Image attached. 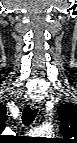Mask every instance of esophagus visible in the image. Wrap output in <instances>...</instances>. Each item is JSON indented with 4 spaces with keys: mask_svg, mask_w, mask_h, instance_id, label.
Segmentation results:
<instances>
[{
    "mask_svg": "<svg viewBox=\"0 0 77 143\" xmlns=\"http://www.w3.org/2000/svg\"><path fill=\"white\" fill-rule=\"evenodd\" d=\"M30 106L33 109H38V108H40V103L38 101H33V102H31Z\"/></svg>",
    "mask_w": 77,
    "mask_h": 143,
    "instance_id": "34e87169",
    "label": "esophagus"
}]
</instances>
